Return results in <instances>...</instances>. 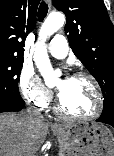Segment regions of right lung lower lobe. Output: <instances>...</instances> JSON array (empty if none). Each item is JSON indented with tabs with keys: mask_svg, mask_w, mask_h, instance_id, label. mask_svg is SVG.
I'll return each instance as SVG.
<instances>
[{
	"mask_svg": "<svg viewBox=\"0 0 114 156\" xmlns=\"http://www.w3.org/2000/svg\"><path fill=\"white\" fill-rule=\"evenodd\" d=\"M25 105V102L14 103L8 101H0V113L9 111H20Z\"/></svg>",
	"mask_w": 114,
	"mask_h": 156,
	"instance_id": "obj_1",
	"label": "right lung lower lobe"
}]
</instances>
